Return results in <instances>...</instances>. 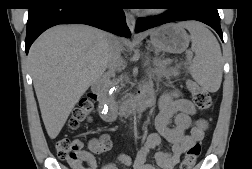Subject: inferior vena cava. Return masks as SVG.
<instances>
[{"instance_id":"1","label":"inferior vena cava","mask_w":252,"mask_h":169,"mask_svg":"<svg viewBox=\"0 0 252 169\" xmlns=\"http://www.w3.org/2000/svg\"><path fill=\"white\" fill-rule=\"evenodd\" d=\"M121 46L116 37L108 43V54H107V75L114 76L115 72L119 70L122 65L121 59Z\"/></svg>"}]
</instances>
